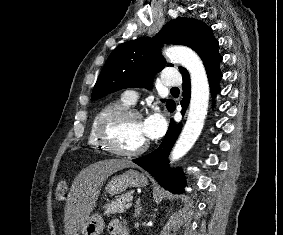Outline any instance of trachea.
Segmentation results:
<instances>
[{"instance_id":"trachea-1","label":"trachea","mask_w":283,"mask_h":235,"mask_svg":"<svg viewBox=\"0 0 283 235\" xmlns=\"http://www.w3.org/2000/svg\"><path fill=\"white\" fill-rule=\"evenodd\" d=\"M171 91L179 92V89L176 87L171 88Z\"/></svg>"}]
</instances>
